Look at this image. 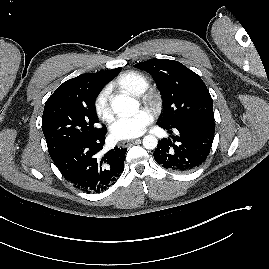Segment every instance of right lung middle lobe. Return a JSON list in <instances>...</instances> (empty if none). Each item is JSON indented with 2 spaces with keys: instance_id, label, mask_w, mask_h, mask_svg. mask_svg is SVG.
<instances>
[{
  "instance_id": "right-lung-middle-lobe-1",
  "label": "right lung middle lobe",
  "mask_w": 269,
  "mask_h": 269,
  "mask_svg": "<svg viewBox=\"0 0 269 269\" xmlns=\"http://www.w3.org/2000/svg\"><path fill=\"white\" fill-rule=\"evenodd\" d=\"M99 91H80L49 97L45 103L42 130L51 158L72 143L89 140L106 128H98L95 99Z\"/></svg>"
}]
</instances>
